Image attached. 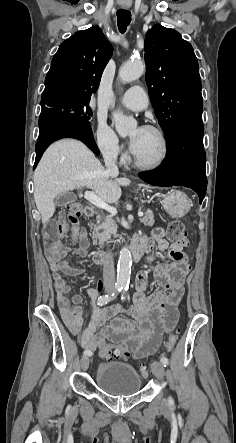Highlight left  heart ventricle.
<instances>
[{"mask_svg": "<svg viewBox=\"0 0 236 443\" xmlns=\"http://www.w3.org/2000/svg\"><path fill=\"white\" fill-rule=\"evenodd\" d=\"M160 152L161 145L158 137L152 131L145 129L135 152L136 156L143 161L152 162L159 157Z\"/></svg>", "mask_w": 236, "mask_h": 443, "instance_id": "1", "label": "left heart ventricle"}]
</instances>
